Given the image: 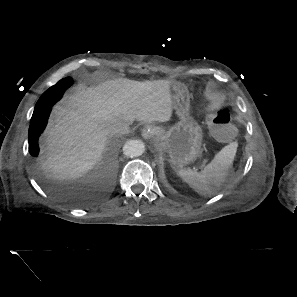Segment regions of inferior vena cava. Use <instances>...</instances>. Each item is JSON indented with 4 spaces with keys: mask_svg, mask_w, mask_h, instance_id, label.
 I'll use <instances>...</instances> for the list:
<instances>
[{
    "mask_svg": "<svg viewBox=\"0 0 297 297\" xmlns=\"http://www.w3.org/2000/svg\"><path fill=\"white\" fill-rule=\"evenodd\" d=\"M112 132L116 134H128L130 127L127 121H119L112 126Z\"/></svg>",
    "mask_w": 297,
    "mask_h": 297,
    "instance_id": "602c4592",
    "label": "inferior vena cava"
}]
</instances>
